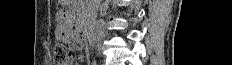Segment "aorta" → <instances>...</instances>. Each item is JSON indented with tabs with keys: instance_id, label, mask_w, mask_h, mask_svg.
Returning <instances> with one entry per match:
<instances>
[{
	"instance_id": "obj_1",
	"label": "aorta",
	"mask_w": 232,
	"mask_h": 65,
	"mask_svg": "<svg viewBox=\"0 0 232 65\" xmlns=\"http://www.w3.org/2000/svg\"><path fill=\"white\" fill-rule=\"evenodd\" d=\"M101 0H90L85 14V34L89 47L93 50L96 42V19Z\"/></svg>"
}]
</instances>
